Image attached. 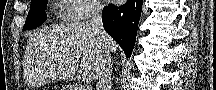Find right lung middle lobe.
Wrapping results in <instances>:
<instances>
[{"mask_svg": "<svg viewBox=\"0 0 216 90\" xmlns=\"http://www.w3.org/2000/svg\"><path fill=\"white\" fill-rule=\"evenodd\" d=\"M47 5V0H32L30 5V11L26 18L23 30L34 29L46 20V14L44 12Z\"/></svg>", "mask_w": 216, "mask_h": 90, "instance_id": "dd1d6c3e", "label": "right lung middle lobe"}]
</instances>
